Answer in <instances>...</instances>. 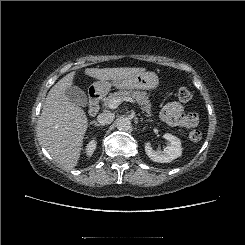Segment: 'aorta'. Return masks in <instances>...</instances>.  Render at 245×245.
<instances>
[{
    "instance_id": "obj_1",
    "label": "aorta",
    "mask_w": 245,
    "mask_h": 245,
    "mask_svg": "<svg viewBox=\"0 0 245 245\" xmlns=\"http://www.w3.org/2000/svg\"><path fill=\"white\" fill-rule=\"evenodd\" d=\"M131 128V121L128 118H120L117 121V129L120 131H128Z\"/></svg>"
}]
</instances>
